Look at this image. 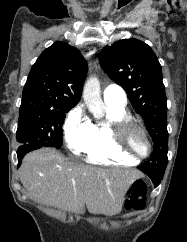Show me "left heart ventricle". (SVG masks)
Listing matches in <instances>:
<instances>
[{
	"instance_id": "left-heart-ventricle-1",
	"label": "left heart ventricle",
	"mask_w": 187,
	"mask_h": 242,
	"mask_svg": "<svg viewBox=\"0 0 187 242\" xmlns=\"http://www.w3.org/2000/svg\"><path fill=\"white\" fill-rule=\"evenodd\" d=\"M126 146L128 150L136 156H142L146 154L148 150L146 140L137 130H131L127 133Z\"/></svg>"
}]
</instances>
